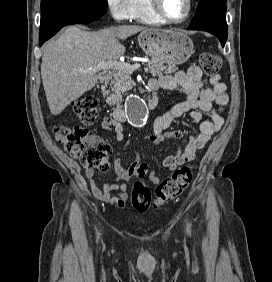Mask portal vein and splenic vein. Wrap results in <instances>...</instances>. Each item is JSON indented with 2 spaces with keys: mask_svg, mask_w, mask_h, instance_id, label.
I'll return each mask as SVG.
<instances>
[{
  "mask_svg": "<svg viewBox=\"0 0 272 282\" xmlns=\"http://www.w3.org/2000/svg\"><path fill=\"white\" fill-rule=\"evenodd\" d=\"M141 67L140 63H135L130 65L124 62L118 61H100L98 65L94 68V70H102V69H114V70H126L129 73H132L134 70L139 69Z\"/></svg>",
  "mask_w": 272,
  "mask_h": 282,
  "instance_id": "obj_1",
  "label": "portal vein and splenic vein"
}]
</instances>
